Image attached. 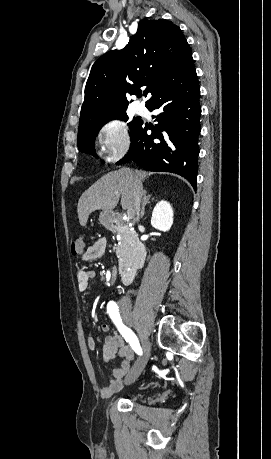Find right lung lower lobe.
<instances>
[{
  "label": "right lung lower lobe",
  "instance_id": "obj_1",
  "mask_svg": "<svg viewBox=\"0 0 271 459\" xmlns=\"http://www.w3.org/2000/svg\"><path fill=\"white\" fill-rule=\"evenodd\" d=\"M199 97L196 71L165 85L146 103L149 111L160 110L155 120L158 124L148 135L142 121L132 132L129 152L117 164L133 160L147 171L176 173L196 189L201 131Z\"/></svg>",
  "mask_w": 271,
  "mask_h": 459
}]
</instances>
